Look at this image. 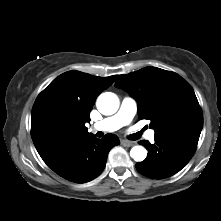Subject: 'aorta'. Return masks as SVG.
<instances>
[{
	"mask_svg": "<svg viewBox=\"0 0 221 221\" xmlns=\"http://www.w3.org/2000/svg\"><path fill=\"white\" fill-rule=\"evenodd\" d=\"M97 109L103 115H112L119 108V99L116 94L111 92L102 93L97 99ZM130 156L136 161L141 162L147 156V150L143 146H134L130 151Z\"/></svg>",
	"mask_w": 221,
	"mask_h": 221,
	"instance_id": "762f6f07",
	"label": "aorta"
}]
</instances>
